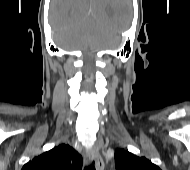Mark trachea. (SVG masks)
<instances>
[{
    "label": "trachea",
    "mask_w": 190,
    "mask_h": 170,
    "mask_svg": "<svg viewBox=\"0 0 190 170\" xmlns=\"http://www.w3.org/2000/svg\"><path fill=\"white\" fill-rule=\"evenodd\" d=\"M85 170H95L94 162L91 165L87 166Z\"/></svg>",
    "instance_id": "obj_1"
}]
</instances>
